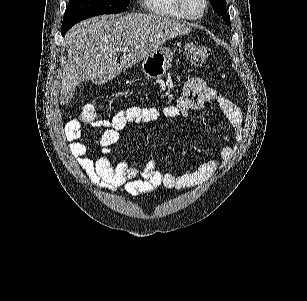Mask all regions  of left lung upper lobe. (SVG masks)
<instances>
[{
  "label": "left lung upper lobe",
  "instance_id": "obj_1",
  "mask_svg": "<svg viewBox=\"0 0 307 301\" xmlns=\"http://www.w3.org/2000/svg\"><path fill=\"white\" fill-rule=\"evenodd\" d=\"M214 11L223 17L224 22L231 28L230 16L226 11V0H209Z\"/></svg>",
  "mask_w": 307,
  "mask_h": 301
}]
</instances>
